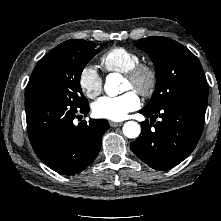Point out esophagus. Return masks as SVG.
Returning a JSON list of instances; mask_svg holds the SVG:
<instances>
[{"mask_svg": "<svg viewBox=\"0 0 221 221\" xmlns=\"http://www.w3.org/2000/svg\"><path fill=\"white\" fill-rule=\"evenodd\" d=\"M122 122H110V126L111 127H119V126H122Z\"/></svg>", "mask_w": 221, "mask_h": 221, "instance_id": "1", "label": "esophagus"}]
</instances>
